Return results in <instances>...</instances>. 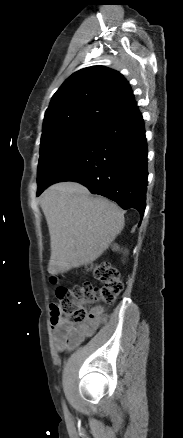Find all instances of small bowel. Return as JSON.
Instances as JSON below:
<instances>
[{"label":"small bowel","instance_id":"obj_1","mask_svg":"<svg viewBox=\"0 0 183 438\" xmlns=\"http://www.w3.org/2000/svg\"><path fill=\"white\" fill-rule=\"evenodd\" d=\"M106 321V314L102 308H93L87 321L79 328L74 329L63 321L53 326L54 342L58 350L78 345L86 337L93 335Z\"/></svg>","mask_w":183,"mask_h":438}]
</instances>
